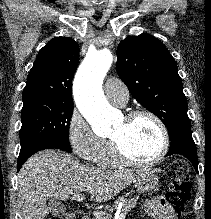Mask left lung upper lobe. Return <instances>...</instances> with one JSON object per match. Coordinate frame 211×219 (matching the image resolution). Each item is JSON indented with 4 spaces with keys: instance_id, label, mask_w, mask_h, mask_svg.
<instances>
[{
    "instance_id": "5c2ea615",
    "label": "left lung upper lobe",
    "mask_w": 211,
    "mask_h": 219,
    "mask_svg": "<svg viewBox=\"0 0 211 219\" xmlns=\"http://www.w3.org/2000/svg\"><path fill=\"white\" fill-rule=\"evenodd\" d=\"M116 70L132 96L161 119L170 137L191 127L176 62L160 40L141 34L121 41Z\"/></svg>"
}]
</instances>
